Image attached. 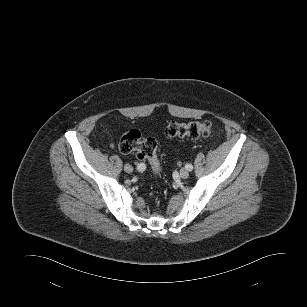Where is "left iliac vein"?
Here are the masks:
<instances>
[{"mask_svg":"<svg viewBox=\"0 0 307 307\" xmlns=\"http://www.w3.org/2000/svg\"><path fill=\"white\" fill-rule=\"evenodd\" d=\"M180 177H181L182 179L188 178V177H189V171H188L186 168H182V169L180 170Z\"/></svg>","mask_w":307,"mask_h":307,"instance_id":"4c4485c4","label":"left iliac vein"}]
</instances>
